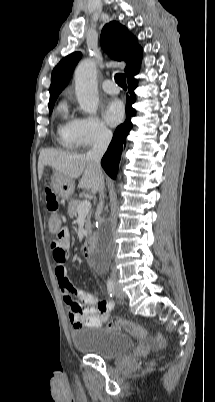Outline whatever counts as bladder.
<instances>
[{"mask_svg": "<svg viewBox=\"0 0 215 402\" xmlns=\"http://www.w3.org/2000/svg\"><path fill=\"white\" fill-rule=\"evenodd\" d=\"M78 352L103 360L115 359L129 352L133 347L130 336L112 328H85L71 334Z\"/></svg>", "mask_w": 215, "mask_h": 402, "instance_id": "obj_1", "label": "bladder"}]
</instances>
